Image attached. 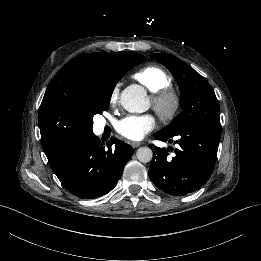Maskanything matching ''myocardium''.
<instances>
[{"label":"myocardium","instance_id":"f54148a6","mask_svg":"<svg viewBox=\"0 0 261 261\" xmlns=\"http://www.w3.org/2000/svg\"><path fill=\"white\" fill-rule=\"evenodd\" d=\"M151 103L158 117L163 122H169L177 115L181 98L175 89L167 86L152 96Z\"/></svg>","mask_w":261,"mask_h":261}]
</instances>
